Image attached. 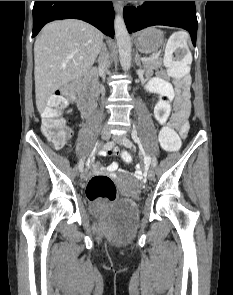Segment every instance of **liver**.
<instances>
[{"label": "liver", "instance_id": "obj_1", "mask_svg": "<svg viewBox=\"0 0 233 295\" xmlns=\"http://www.w3.org/2000/svg\"><path fill=\"white\" fill-rule=\"evenodd\" d=\"M103 34L81 20L50 22L34 44L36 106L40 114L51 95L86 75L102 47Z\"/></svg>", "mask_w": 233, "mask_h": 295}]
</instances>
